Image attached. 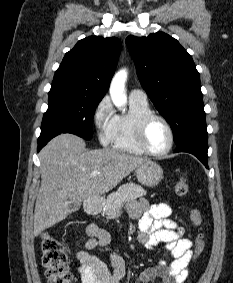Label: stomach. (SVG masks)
<instances>
[{
  "mask_svg": "<svg viewBox=\"0 0 233 283\" xmlns=\"http://www.w3.org/2000/svg\"><path fill=\"white\" fill-rule=\"evenodd\" d=\"M138 181L146 186L154 187L163 179V170L159 164L148 161L136 168Z\"/></svg>",
  "mask_w": 233,
  "mask_h": 283,
  "instance_id": "stomach-1",
  "label": "stomach"
}]
</instances>
